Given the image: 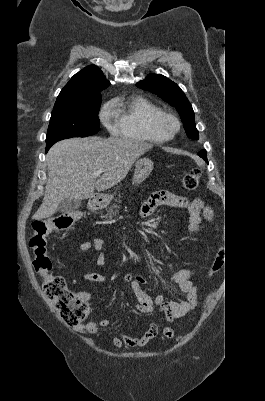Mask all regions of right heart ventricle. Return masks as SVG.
I'll list each match as a JSON object with an SVG mask.
<instances>
[{
  "label": "right heart ventricle",
  "instance_id": "right-heart-ventricle-1",
  "mask_svg": "<svg viewBox=\"0 0 265 401\" xmlns=\"http://www.w3.org/2000/svg\"><path fill=\"white\" fill-rule=\"evenodd\" d=\"M110 108L116 118L115 135L157 142L149 120L160 110L151 100L138 94L120 93L111 100Z\"/></svg>",
  "mask_w": 265,
  "mask_h": 401
}]
</instances>
